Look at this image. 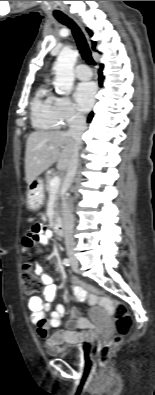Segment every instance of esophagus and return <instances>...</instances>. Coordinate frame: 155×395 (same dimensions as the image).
I'll return each instance as SVG.
<instances>
[{
  "instance_id": "obj_1",
  "label": "esophagus",
  "mask_w": 155,
  "mask_h": 395,
  "mask_svg": "<svg viewBox=\"0 0 155 395\" xmlns=\"http://www.w3.org/2000/svg\"><path fill=\"white\" fill-rule=\"evenodd\" d=\"M70 17H72L76 21V23L79 25V27L83 30V32H85L82 22L72 15H70Z\"/></svg>"
}]
</instances>
